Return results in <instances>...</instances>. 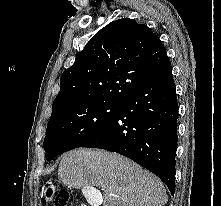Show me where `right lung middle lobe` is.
<instances>
[{"instance_id": "dd1d6c3e", "label": "right lung middle lobe", "mask_w": 221, "mask_h": 206, "mask_svg": "<svg viewBox=\"0 0 221 206\" xmlns=\"http://www.w3.org/2000/svg\"><path fill=\"white\" fill-rule=\"evenodd\" d=\"M119 104L92 103L51 115L44 139L45 156L51 161L59 154L81 147L117 115Z\"/></svg>"}]
</instances>
